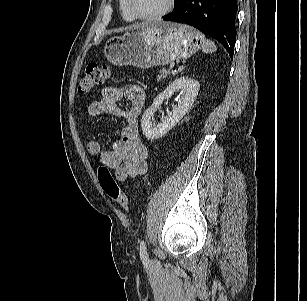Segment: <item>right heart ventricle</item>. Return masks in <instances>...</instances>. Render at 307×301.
Returning a JSON list of instances; mask_svg holds the SVG:
<instances>
[{
  "mask_svg": "<svg viewBox=\"0 0 307 301\" xmlns=\"http://www.w3.org/2000/svg\"><path fill=\"white\" fill-rule=\"evenodd\" d=\"M119 9L124 20L128 22H132L135 20L127 6L126 0H119Z\"/></svg>",
  "mask_w": 307,
  "mask_h": 301,
  "instance_id": "e07e8e85",
  "label": "right heart ventricle"
}]
</instances>
